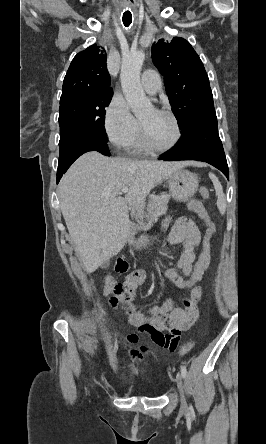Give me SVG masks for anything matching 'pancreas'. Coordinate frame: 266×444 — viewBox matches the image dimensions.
Masks as SVG:
<instances>
[{
    "label": "pancreas",
    "mask_w": 266,
    "mask_h": 444,
    "mask_svg": "<svg viewBox=\"0 0 266 444\" xmlns=\"http://www.w3.org/2000/svg\"><path fill=\"white\" fill-rule=\"evenodd\" d=\"M170 199V195L161 194L152 198L148 205L147 211L148 214H145V217L149 220H154L157 217L166 214L168 209V202ZM144 223L143 221H138V229H143Z\"/></svg>",
    "instance_id": "obj_1"
}]
</instances>
